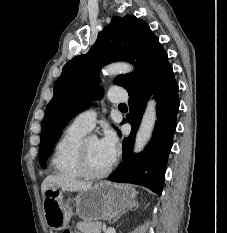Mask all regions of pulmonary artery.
<instances>
[{
  "label": "pulmonary artery",
  "mask_w": 227,
  "mask_h": 233,
  "mask_svg": "<svg viewBox=\"0 0 227 233\" xmlns=\"http://www.w3.org/2000/svg\"><path fill=\"white\" fill-rule=\"evenodd\" d=\"M108 99L111 102H120L126 100L125 92L121 90L112 91L108 95ZM97 118V111L94 108L85 110L78 114L72 122V126L83 130L85 132H89L93 129Z\"/></svg>",
  "instance_id": "pulmonary-artery-1"
}]
</instances>
